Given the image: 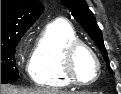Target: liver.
I'll use <instances>...</instances> for the list:
<instances>
[{
    "label": "liver",
    "mask_w": 121,
    "mask_h": 94,
    "mask_svg": "<svg viewBox=\"0 0 121 94\" xmlns=\"http://www.w3.org/2000/svg\"><path fill=\"white\" fill-rule=\"evenodd\" d=\"M1 94H69L56 90H48V89H18L11 85H3L1 84Z\"/></svg>",
    "instance_id": "obj_1"
}]
</instances>
